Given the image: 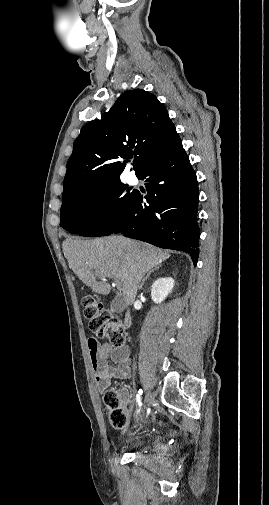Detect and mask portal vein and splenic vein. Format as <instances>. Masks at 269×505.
Wrapping results in <instances>:
<instances>
[{"instance_id": "18ae733b", "label": "portal vein and splenic vein", "mask_w": 269, "mask_h": 505, "mask_svg": "<svg viewBox=\"0 0 269 505\" xmlns=\"http://www.w3.org/2000/svg\"><path fill=\"white\" fill-rule=\"evenodd\" d=\"M98 277L102 278L103 280H106L104 276H101V275H97ZM118 289H120V286L119 284H114Z\"/></svg>"}]
</instances>
